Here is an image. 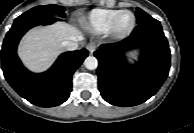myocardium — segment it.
<instances>
[{"instance_id": "f54148a6", "label": "myocardium", "mask_w": 194, "mask_h": 133, "mask_svg": "<svg viewBox=\"0 0 194 133\" xmlns=\"http://www.w3.org/2000/svg\"><path fill=\"white\" fill-rule=\"evenodd\" d=\"M123 13H129L132 16L133 22H132L131 27L126 32L119 33L116 31V23H117L118 18ZM136 22H137L136 16L132 11L127 10V9L119 10L110 20L109 25H108L107 34L115 40H124L132 34V32L134 31L136 27Z\"/></svg>"}]
</instances>
